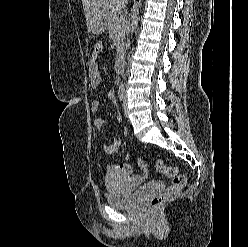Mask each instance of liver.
I'll return each instance as SVG.
<instances>
[{"mask_svg":"<svg viewBox=\"0 0 248 247\" xmlns=\"http://www.w3.org/2000/svg\"><path fill=\"white\" fill-rule=\"evenodd\" d=\"M127 3L128 0H82L88 30L109 10L120 11Z\"/></svg>","mask_w":248,"mask_h":247,"instance_id":"6515ba94","label":"liver"}]
</instances>
